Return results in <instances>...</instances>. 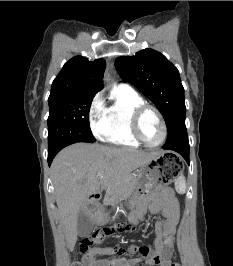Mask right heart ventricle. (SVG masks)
Listing matches in <instances>:
<instances>
[{
	"label": "right heart ventricle",
	"instance_id": "e07e8e85",
	"mask_svg": "<svg viewBox=\"0 0 233 266\" xmlns=\"http://www.w3.org/2000/svg\"><path fill=\"white\" fill-rule=\"evenodd\" d=\"M145 103L143 98L131 87L118 85L111 91V103L105 109L107 125L103 139L114 145L138 147L131 133V114L135 107Z\"/></svg>",
	"mask_w": 233,
	"mask_h": 266
}]
</instances>
